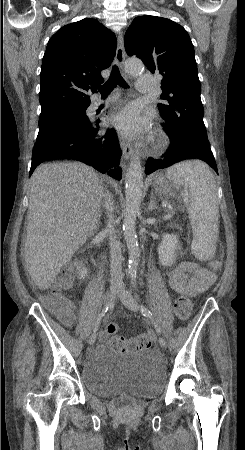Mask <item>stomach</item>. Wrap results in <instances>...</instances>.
Instances as JSON below:
<instances>
[{"instance_id":"obj_1","label":"stomach","mask_w":245,"mask_h":450,"mask_svg":"<svg viewBox=\"0 0 245 450\" xmlns=\"http://www.w3.org/2000/svg\"><path fill=\"white\" fill-rule=\"evenodd\" d=\"M153 186L155 191L162 196L170 197L175 195V185L162 175H157L153 179Z\"/></svg>"}]
</instances>
